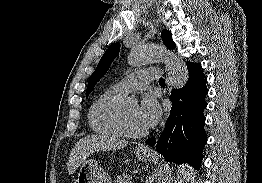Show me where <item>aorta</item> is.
I'll return each instance as SVG.
<instances>
[{
    "instance_id": "1",
    "label": "aorta",
    "mask_w": 262,
    "mask_h": 183,
    "mask_svg": "<svg viewBox=\"0 0 262 183\" xmlns=\"http://www.w3.org/2000/svg\"><path fill=\"white\" fill-rule=\"evenodd\" d=\"M164 62L168 74V81L173 88L180 89L188 81V69L183 59L159 45H149L142 48H133L128 57V63L133 67H139L149 63ZM126 105L136 103V99L129 97L125 100ZM169 167L164 165V171Z\"/></svg>"
}]
</instances>
